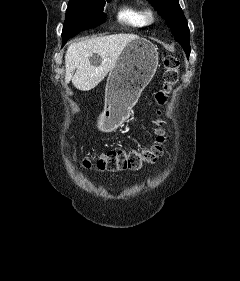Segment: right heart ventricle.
Listing matches in <instances>:
<instances>
[{"label": "right heart ventricle", "mask_w": 240, "mask_h": 281, "mask_svg": "<svg viewBox=\"0 0 240 281\" xmlns=\"http://www.w3.org/2000/svg\"><path fill=\"white\" fill-rule=\"evenodd\" d=\"M117 19L121 23L133 28H140L146 25L142 9L134 4L122 6L117 12Z\"/></svg>", "instance_id": "1"}]
</instances>
